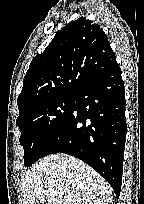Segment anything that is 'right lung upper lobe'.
Here are the masks:
<instances>
[{"label": "right lung upper lobe", "instance_id": "cb5924a9", "mask_svg": "<svg viewBox=\"0 0 144 204\" xmlns=\"http://www.w3.org/2000/svg\"><path fill=\"white\" fill-rule=\"evenodd\" d=\"M116 57L103 29L81 17L59 30L33 58L18 96L19 115L57 96H76Z\"/></svg>", "mask_w": 144, "mask_h": 204}]
</instances>
